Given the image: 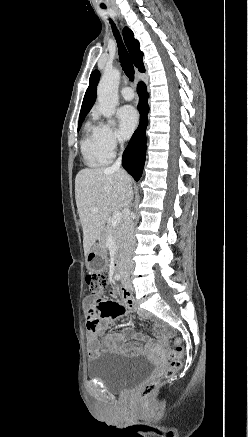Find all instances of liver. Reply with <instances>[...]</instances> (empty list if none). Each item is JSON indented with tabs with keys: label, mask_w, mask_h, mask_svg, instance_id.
Wrapping results in <instances>:
<instances>
[{
	"label": "liver",
	"mask_w": 248,
	"mask_h": 437,
	"mask_svg": "<svg viewBox=\"0 0 248 437\" xmlns=\"http://www.w3.org/2000/svg\"><path fill=\"white\" fill-rule=\"evenodd\" d=\"M131 186L132 178L121 169L85 168L78 172L75 199L83 228L85 255L103 234L110 213L125 207L127 190Z\"/></svg>",
	"instance_id": "6515ba94"
}]
</instances>
